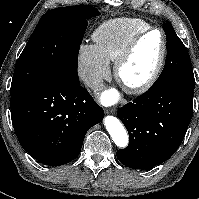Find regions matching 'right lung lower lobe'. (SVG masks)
<instances>
[{
    "instance_id": "98d812e1",
    "label": "right lung lower lobe",
    "mask_w": 199,
    "mask_h": 199,
    "mask_svg": "<svg viewBox=\"0 0 199 199\" xmlns=\"http://www.w3.org/2000/svg\"><path fill=\"white\" fill-rule=\"evenodd\" d=\"M12 124L21 146L39 162L58 166L80 153L103 109L79 81L46 75L11 94Z\"/></svg>"
}]
</instances>
